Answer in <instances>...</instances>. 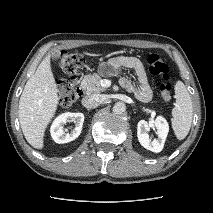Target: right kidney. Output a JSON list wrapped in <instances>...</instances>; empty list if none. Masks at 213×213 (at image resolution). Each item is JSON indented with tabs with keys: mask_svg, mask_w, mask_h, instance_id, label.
Wrapping results in <instances>:
<instances>
[{
	"mask_svg": "<svg viewBox=\"0 0 213 213\" xmlns=\"http://www.w3.org/2000/svg\"><path fill=\"white\" fill-rule=\"evenodd\" d=\"M67 122L75 123V129L69 133L64 131V125ZM84 122L82 113H63L59 115L51 125V136L56 143L64 144L75 140L81 133Z\"/></svg>",
	"mask_w": 213,
	"mask_h": 213,
	"instance_id": "1",
	"label": "right kidney"
}]
</instances>
